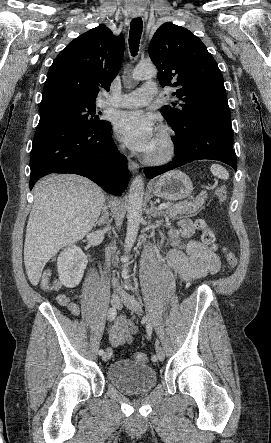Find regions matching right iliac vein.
I'll return each instance as SVG.
<instances>
[{"label": "right iliac vein", "instance_id": "right-iliac-vein-1", "mask_svg": "<svg viewBox=\"0 0 271 443\" xmlns=\"http://www.w3.org/2000/svg\"><path fill=\"white\" fill-rule=\"evenodd\" d=\"M120 301H121V297L119 295H113L111 298V305L113 307H118L120 305ZM112 355V350L111 348H107L104 352V354L102 355V360L103 361H107L111 358Z\"/></svg>", "mask_w": 271, "mask_h": 443}]
</instances>
